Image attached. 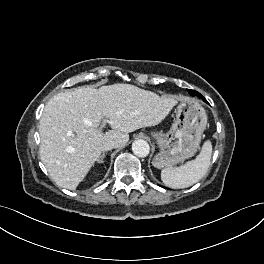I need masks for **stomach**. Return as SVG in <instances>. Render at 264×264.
Wrapping results in <instances>:
<instances>
[{
  "label": "stomach",
  "mask_w": 264,
  "mask_h": 264,
  "mask_svg": "<svg viewBox=\"0 0 264 264\" xmlns=\"http://www.w3.org/2000/svg\"><path fill=\"white\" fill-rule=\"evenodd\" d=\"M175 114V121L167 133H151L160 149L154 157L156 168H172L192 157L199 148L207 125L203 106L193 98L182 97Z\"/></svg>",
  "instance_id": "0dacf381"
}]
</instances>
